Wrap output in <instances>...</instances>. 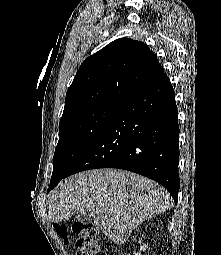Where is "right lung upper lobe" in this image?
I'll return each instance as SVG.
<instances>
[{
	"mask_svg": "<svg viewBox=\"0 0 221 255\" xmlns=\"http://www.w3.org/2000/svg\"><path fill=\"white\" fill-rule=\"evenodd\" d=\"M164 73L142 42L120 38L88 57L68 88L61 120L89 107L121 104Z\"/></svg>",
	"mask_w": 221,
	"mask_h": 255,
	"instance_id": "right-lung-upper-lobe-1",
	"label": "right lung upper lobe"
}]
</instances>
